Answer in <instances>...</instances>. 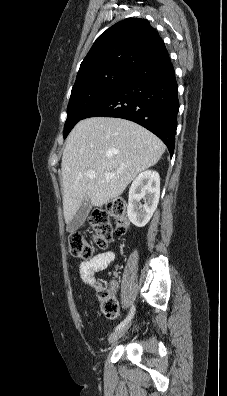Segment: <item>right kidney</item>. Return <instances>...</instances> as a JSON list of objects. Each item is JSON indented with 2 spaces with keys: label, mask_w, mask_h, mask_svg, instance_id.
I'll use <instances>...</instances> for the list:
<instances>
[{
  "label": "right kidney",
  "mask_w": 227,
  "mask_h": 396,
  "mask_svg": "<svg viewBox=\"0 0 227 396\" xmlns=\"http://www.w3.org/2000/svg\"><path fill=\"white\" fill-rule=\"evenodd\" d=\"M159 197V174L151 170L141 172L133 180L129 190L127 207L129 220L137 227L145 226L157 208Z\"/></svg>",
  "instance_id": "ca27d5eb"
}]
</instances>
